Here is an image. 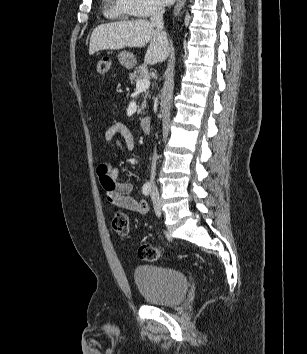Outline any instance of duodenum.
I'll list each match as a JSON object with an SVG mask.
<instances>
[{
	"mask_svg": "<svg viewBox=\"0 0 307 354\" xmlns=\"http://www.w3.org/2000/svg\"><path fill=\"white\" fill-rule=\"evenodd\" d=\"M152 120L150 117L145 116L140 120V127L145 133H149L151 131Z\"/></svg>",
	"mask_w": 307,
	"mask_h": 354,
	"instance_id": "1",
	"label": "duodenum"
}]
</instances>
